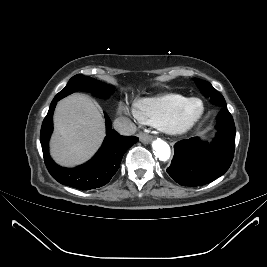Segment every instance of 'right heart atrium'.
I'll return each mask as SVG.
<instances>
[{"instance_id":"1","label":"right heart atrium","mask_w":267,"mask_h":267,"mask_svg":"<svg viewBox=\"0 0 267 267\" xmlns=\"http://www.w3.org/2000/svg\"><path fill=\"white\" fill-rule=\"evenodd\" d=\"M119 112L121 113V114H123V115H127V116H131V117H133L134 119H138V120H140L139 119V117H138V115H137V113H136V111H135V108L133 107V108H130V107H128L125 103H123V102H121L120 104H119Z\"/></svg>"}]
</instances>
